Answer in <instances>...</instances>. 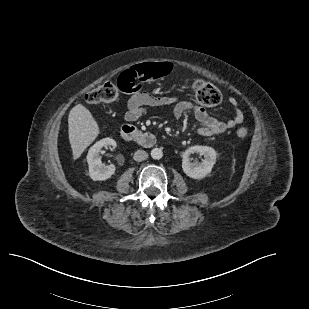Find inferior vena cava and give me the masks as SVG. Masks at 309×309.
I'll use <instances>...</instances> for the list:
<instances>
[{"label":"inferior vena cava","mask_w":309,"mask_h":309,"mask_svg":"<svg viewBox=\"0 0 309 309\" xmlns=\"http://www.w3.org/2000/svg\"><path fill=\"white\" fill-rule=\"evenodd\" d=\"M134 160L137 162L144 161L148 158V153L144 150H137L133 156Z\"/></svg>","instance_id":"1"}]
</instances>
